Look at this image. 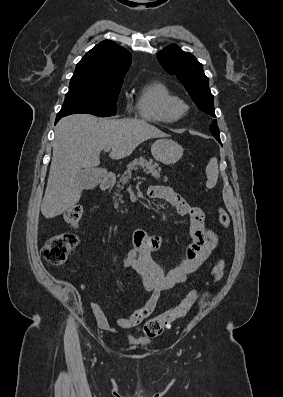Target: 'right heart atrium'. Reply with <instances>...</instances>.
Returning <instances> with one entry per match:
<instances>
[{"instance_id":"d8ad5b80","label":"right heart atrium","mask_w":283,"mask_h":397,"mask_svg":"<svg viewBox=\"0 0 283 397\" xmlns=\"http://www.w3.org/2000/svg\"><path fill=\"white\" fill-rule=\"evenodd\" d=\"M126 110H127V112H132V106L128 103L127 104V106H126Z\"/></svg>"}]
</instances>
